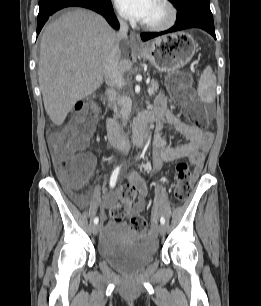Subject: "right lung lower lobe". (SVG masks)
<instances>
[{
	"label": "right lung lower lobe",
	"mask_w": 261,
	"mask_h": 306,
	"mask_svg": "<svg viewBox=\"0 0 261 306\" xmlns=\"http://www.w3.org/2000/svg\"><path fill=\"white\" fill-rule=\"evenodd\" d=\"M70 6H80L94 10L104 16L113 28H119V22L114 14L110 0H39L37 34L40 33L49 16L62 8Z\"/></svg>",
	"instance_id": "98d812e1"
}]
</instances>
